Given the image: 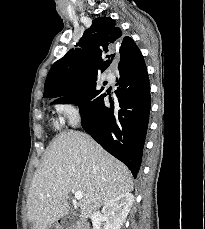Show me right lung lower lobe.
I'll return each mask as SVG.
<instances>
[{
    "mask_svg": "<svg viewBox=\"0 0 205 229\" xmlns=\"http://www.w3.org/2000/svg\"><path fill=\"white\" fill-rule=\"evenodd\" d=\"M120 71L116 97L105 105L101 88L65 102L80 106L81 124L106 151L121 160L134 178L140 168L150 111V84L144 59L133 68Z\"/></svg>",
    "mask_w": 205,
    "mask_h": 229,
    "instance_id": "1",
    "label": "right lung lower lobe"
}]
</instances>
